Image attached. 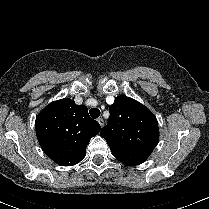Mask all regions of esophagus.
<instances>
[{
	"label": "esophagus",
	"instance_id": "34e87169",
	"mask_svg": "<svg viewBox=\"0 0 209 209\" xmlns=\"http://www.w3.org/2000/svg\"><path fill=\"white\" fill-rule=\"evenodd\" d=\"M98 123L100 124L101 127L104 126V120L102 118L97 119Z\"/></svg>",
	"mask_w": 209,
	"mask_h": 209
}]
</instances>
